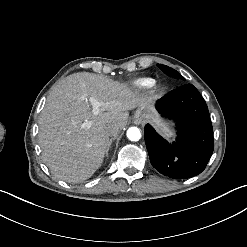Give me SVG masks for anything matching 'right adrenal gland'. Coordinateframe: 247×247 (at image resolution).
<instances>
[{"label": "right adrenal gland", "instance_id": "obj_1", "mask_svg": "<svg viewBox=\"0 0 247 247\" xmlns=\"http://www.w3.org/2000/svg\"><path fill=\"white\" fill-rule=\"evenodd\" d=\"M112 142H113V140H110V141H109L108 146H107V148H106V150H105V156H106V157H108V150L110 149Z\"/></svg>", "mask_w": 247, "mask_h": 247}]
</instances>
